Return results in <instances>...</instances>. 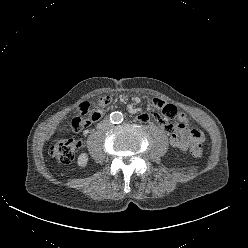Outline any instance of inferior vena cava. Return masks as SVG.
I'll return each instance as SVG.
<instances>
[{
	"label": "inferior vena cava",
	"instance_id": "602c4592",
	"mask_svg": "<svg viewBox=\"0 0 248 248\" xmlns=\"http://www.w3.org/2000/svg\"><path fill=\"white\" fill-rule=\"evenodd\" d=\"M102 125H107L108 127H110V126H111V123H110V121H104V122L102 123Z\"/></svg>",
	"mask_w": 248,
	"mask_h": 248
}]
</instances>
